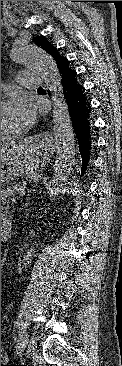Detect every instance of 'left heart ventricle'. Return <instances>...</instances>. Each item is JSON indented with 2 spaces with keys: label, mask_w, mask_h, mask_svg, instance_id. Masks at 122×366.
<instances>
[{
  "label": "left heart ventricle",
  "mask_w": 122,
  "mask_h": 366,
  "mask_svg": "<svg viewBox=\"0 0 122 366\" xmlns=\"http://www.w3.org/2000/svg\"><path fill=\"white\" fill-rule=\"evenodd\" d=\"M11 106V105H10ZM10 106L1 107V137H9L16 135L18 123Z\"/></svg>",
  "instance_id": "obj_1"
}]
</instances>
